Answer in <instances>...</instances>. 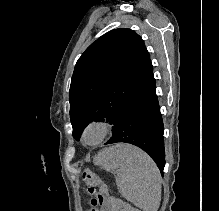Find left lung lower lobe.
<instances>
[{
    "label": "left lung lower lobe",
    "mask_w": 219,
    "mask_h": 211,
    "mask_svg": "<svg viewBox=\"0 0 219 211\" xmlns=\"http://www.w3.org/2000/svg\"><path fill=\"white\" fill-rule=\"evenodd\" d=\"M153 78L135 95L105 144L129 143L145 152L157 164L161 174L165 166L164 126Z\"/></svg>",
    "instance_id": "left-lung-lower-lobe-1"
}]
</instances>
